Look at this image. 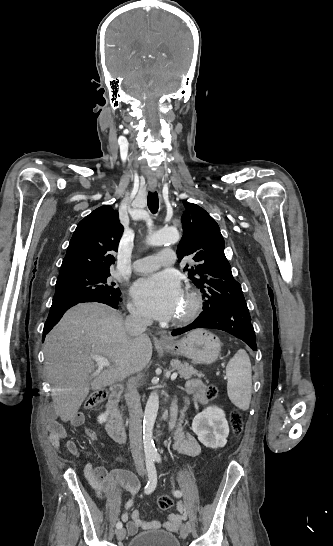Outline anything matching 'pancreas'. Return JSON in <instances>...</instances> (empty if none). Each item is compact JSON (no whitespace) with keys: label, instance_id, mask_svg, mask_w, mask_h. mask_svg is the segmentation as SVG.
Returning <instances> with one entry per match:
<instances>
[{"label":"pancreas","instance_id":"1","mask_svg":"<svg viewBox=\"0 0 333 546\" xmlns=\"http://www.w3.org/2000/svg\"><path fill=\"white\" fill-rule=\"evenodd\" d=\"M171 368L174 371H177L180 378L189 379L192 376H198V377H204L205 375L201 372H198L196 369H194L192 366H190L186 362H179V361H172L171 362Z\"/></svg>","mask_w":333,"mask_h":546}]
</instances>
